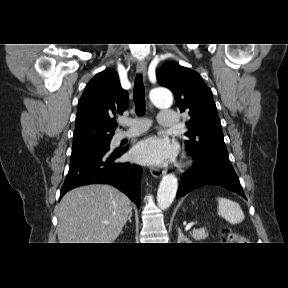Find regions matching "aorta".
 <instances>
[{"label":"aorta","mask_w":288,"mask_h":288,"mask_svg":"<svg viewBox=\"0 0 288 288\" xmlns=\"http://www.w3.org/2000/svg\"><path fill=\"white\" fill-rule=\"evenodd\" d=\"M151 101L161 108L170 107L173 103L172 93L168 90L156 88L150 92ZM178 188V181L175 175L163 176L158 191L157 203L161 209H167L172 204Z\"/></svg>","instance_id":"obj_1"}]
</instances>
